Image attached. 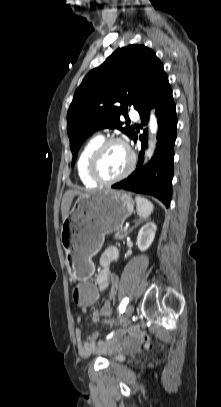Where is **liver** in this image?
I'll return each mask as SVG.
<instances>
[{
    "label": "liver",
    "instance_id": "obj_1",
    "mask_svg": "<svg viewBox=\"0 0 221 407\" xmlns=\"http://www.w3.org/2000/svg\"><path fill=\"white\" fill-rule=\"evenodd\" d=\"M76 195H84L80 193L79 191L76 190H68L65 192L63 199H62V204H61V213H62V219L63 221L68 217L69 215V210L73 201V198Z\"/></svg>",
    "mask_w": 221,
    "mask_h": 407
}]
</instances>
